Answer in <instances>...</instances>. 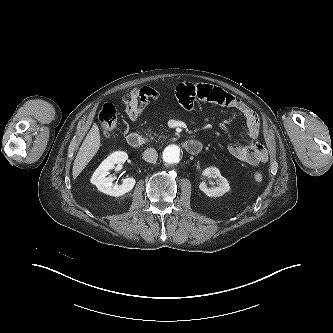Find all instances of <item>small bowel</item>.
<instances>
[{
	"label": "small bowel",
	"mask_w": 333,
	"mask_h": 333,
	"mask_svg": "<svg viewBox=\"0 0 333 333\" xmlns=\"http://www.w3.org/2000/svg\"><path fill=\"white\" fill-rule=\"evenodd\" d=\"M175 93L180 103L187 109L193 108L195 101L211 102L235 109L245 120L247 134L252 141L245 145L230 144L228 152L236 159L251 166L268 160L267 150L256 141L260 130L259 117L242 100L220 87L203 83H181L176 87ZM160 96L159 91L149 86L131 89L124 97V110L127 117L133 122L137 121L147 109L150 100H157Z\"/></svg>",
	"instance_id": "small-bowel-1"
}]
</instances>
